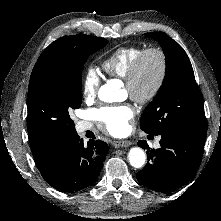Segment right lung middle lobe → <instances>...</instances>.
Returning <instances> with one entry per match:
<instances>
[{
    "label": "right lung middle lobe",
    "instance_id": "dd1d6c3e",
    "mask_svg": "<svg viewBox=\"0 0 221 221\" xmlns=\"http://www.w3.org/2000/svg\"><path fill=\"white\" fill-rule=\"evenodd\" d=\"M107 40L80 35L74 48L55 53L34 67L28 88L27 121L51 132L75 131L69 111L82 103V71L89 55Z\"/></svg>",
    "mask_w": 221,
    "mask_h": 221
}]
</instances>
